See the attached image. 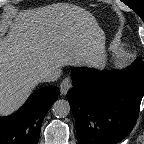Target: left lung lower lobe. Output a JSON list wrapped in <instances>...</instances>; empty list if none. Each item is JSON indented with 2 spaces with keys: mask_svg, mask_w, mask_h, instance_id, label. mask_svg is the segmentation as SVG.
Masks as SVG:
<instances>
[{
  "mask_svg": "<svg viewBox=\"0 0 144 144\" xmlns=\"http://www.w3.org/2000/svg\"><path fill=\"white\" fill-rule=\"evenodd\" d=\"M67 93L79 144H116L133 129L144 95V61L123 71L73 68Z\"/></svg>",
  "mask_w": 144,
  "mask_h": 144,
  "instance_id": "left-lung-lower-lobe-1",
  "label": "left lung lower lobe"
}]
</instances>
